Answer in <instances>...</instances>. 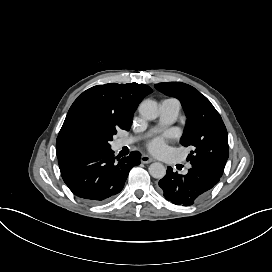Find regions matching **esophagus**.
<instances>
[{
  "instance_id": "34e87169",
  "label": "esophagus",
  "mask_w": 272,
  "mask_h": 272,
  "mask_svg": "<svg viewBox=\"0 0 272 272\" xmlns=\"http://www.w3.org/2000/svg\"><path fill=\"white\" fill-rule=\"evenodd\" d=\"M153 161H154V159L149 155H142L141 156V162L142 163H151Z\"/></svg>"
}]
</instances>
